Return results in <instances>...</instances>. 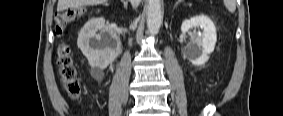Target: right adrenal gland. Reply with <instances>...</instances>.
<instances>
[{
	"mask_svg": "<svg viewBox=\"0 0 283 116\" xmlns=\"http://www.w3.org/2000/svg\"><path fill=\"white\" fill-rule=\"evenodd\" d=\"M122 3H123L124 8H125V9H127V7H128V3H127V1L122 0Z\"/></svg>",
	"mask_w": 283,
	"mask_h": 116,
	"instance_id": "1",
	"label": "right adrenal gland"
}]
</instances>
